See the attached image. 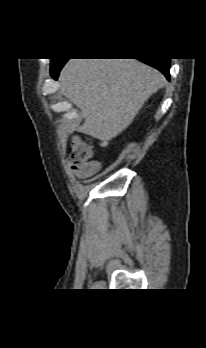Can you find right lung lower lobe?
Segmentation results:
<instances>
[{"instance_id": "1", "label": "right lung lower lobe", "mask_w": 206, "mask_h": 348, "mask_svg": "<svg viewBox=\"0 0 206 348\" xmlns=\"http://www.w3.org/2000/svg\"><path fill=\"white\" fill-rule=\"evenodd\" d=\"M139 60L158 69L166 76L168 80H170V74H169L170 59L145 58V59H139ZM66 61L67 59L60 60L57 64L51 66L50 72L54 79H57L58 74Z\"/></svg>"}]
</instances>
